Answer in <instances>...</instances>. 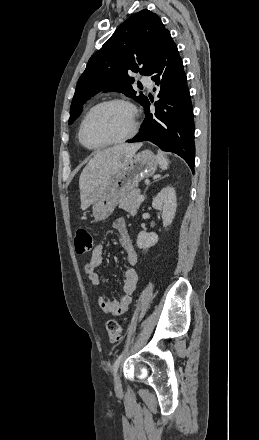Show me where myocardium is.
<instances>
[{"instance_id": "myocardium-1", "label": "myocardium", "mask_w": 259, "mask_h": 440, "mask_svg": "<svg viewBox=\"0 0 259 440\" xmlns=\"http://www.w3.org/2000/svg\"><path fill=\"white\" fill-rule=\"evenodd\" d=\"M111 104H121V105L126 106L129 109L130 115H131V128H130L129 132L125 136H123L117 140H114V141H110V142L96 145V146L88 145L84 139V128H85V125H86L88 119L96 110H98L104 106L111 105ZM138 130H139L138 111H137L135 105L132 102H130L129 100L124 99V98H111V99L101 101L89 109V111L85 114V116L82 119L81 124L79 126L78 138H79L80 143L85 148H87L89 150H100V149H103V148H106L109 146L122 144V143L132 139L138 133Z\"/></svg>"}]
</instances>
